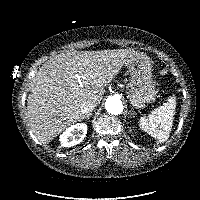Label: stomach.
<instances>
[{
    "instance_id": "1",
    "label": "stomach",
    "mask_w": 200,
    "mask_h": 200,
    "mask_svg": "<svg viewBox=\"0 0 200 200\" xmlns=\"http://www.w3.org/2000/svg\"><path fill=\"white\" fill-rule=\"evenodd\" d=\"M126 68L130 75L126 87L128 99L133 107L144 108L154 100L156 95L150 58L137 52L127 60Z\"/></svg>"
}]
</instances>
